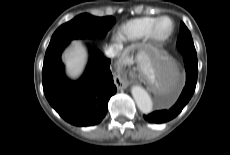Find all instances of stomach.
Wrapping results in <instances>:
<instances>
[{
    "label": "stomach",
    "instance_id": "1",
    "mask_svg": "<svg viewBox=\"0 0 230 155\" xmlns=\"http://www.w3.org/2000/svg\"><path fill=\"white\" fill-rule=\"evenodd\" d=\"M151 52H152V49H150V48L146 50V53H147L148 55H150Z\"/></svg>",
    "mask_w": 230,
    "mask_h": 155
}]
</instances>
